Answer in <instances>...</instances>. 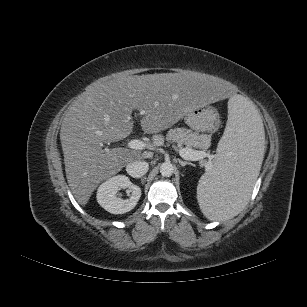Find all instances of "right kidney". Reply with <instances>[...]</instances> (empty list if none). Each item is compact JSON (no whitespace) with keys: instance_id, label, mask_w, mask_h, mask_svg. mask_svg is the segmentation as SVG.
Instances as JSON below:
<instances>
[{"instance_id":"ca27d5eb","label":"right kidney","mask_w":307,"mask_h":307,"mask_svg":"<svg viewBox=\"0 0 307 307\" xmlns=\"http://www.w3.org/2000/svg\"><path fill=\"white\" fill-rule=\"evenodd\" d=\"M128 189L131 193L129 199L117 196L121 189ZM141 197V189L133 184L125 175H117L102 183L97 191V202L106 211L112 214H124L131 211L137 205Z\"/></svg>"}]
</instances>
